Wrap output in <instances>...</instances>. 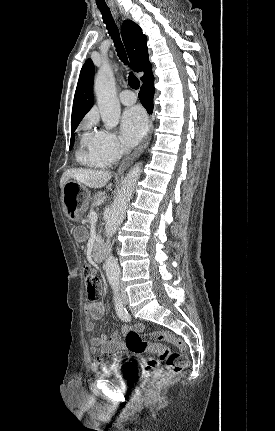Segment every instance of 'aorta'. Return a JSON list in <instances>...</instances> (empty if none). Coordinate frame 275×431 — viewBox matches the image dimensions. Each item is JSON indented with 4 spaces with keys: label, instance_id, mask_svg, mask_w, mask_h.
I'll return each instance as SVG.
<instances>
[{
    "label": "aorta",
    "instance_id": "aorta-1",
    "mask_svg": "<svg viewBox=\"0 0 275 431\" xmlns=\"http://www.w3.org/2000/svg\"><path fill=\"white\" fill-rule=\"evenodd\" d=\"M94 89L100 115L106 128L116 127L120 120L121 107L116 95L114 75L108 65H103L98 71ZM141 166V163H137L128 171L111 205L105 224V232L109 238L115 234L125 217L126 208L141 174ZM104 269L111 284L119 282L121 271L117 259L112 254L106 257Z\"/></svg>",
    "mask_w": 275,
    "mask_h": 431
}]
</instances>
